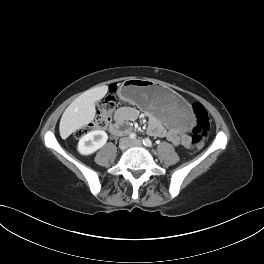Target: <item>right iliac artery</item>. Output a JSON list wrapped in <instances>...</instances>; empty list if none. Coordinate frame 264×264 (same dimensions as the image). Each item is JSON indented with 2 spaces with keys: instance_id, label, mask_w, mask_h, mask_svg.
<instances>
[{
  "instance_id": "obj_1",
  "label": "right iliac artery",
  "mask_w": 264,
  "mask_h": 264,
  "mask_svg": "<svg viewBox=\"0 0 264 264\" xmlns=\"http://www.w3.org/2000/svg\"><path fill=\"white\" fill-rule=\"evenodd\" d=\"M129 138L132 139V140H135L136 139V134L135 133H131L129 135Z\"/></svg>"
}]
</instances>
